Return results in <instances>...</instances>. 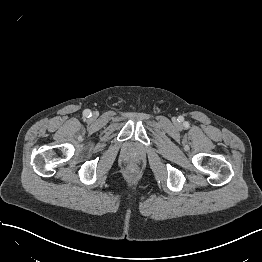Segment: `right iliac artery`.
Returning <instances> with one entry per match:
<instances>
[{"instance_id":"82829eb1","label":"right iliac artery","mask_w":262,"mask_h":262,"mask_svg":"<svg viewBox=\"0 0 262 262\" xmlns=\"http://www.w3.org/2000/svg\"><path fill=\"white\" fill-rule=\"evenodd\" d=\"M83 115H84L86 118H89V117H91V111H90L89 109H86V110H84Z\"/></svg>"}]
</instances>
